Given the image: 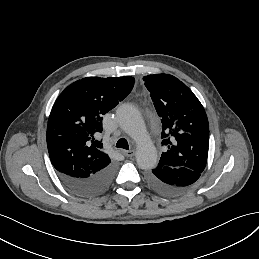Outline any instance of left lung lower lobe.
I'll list each match as a JSON object with an SVG mask.
<instances>
[{
    "label": "left lung lower lobe",
    "instance_id": "obj_1",
    "mask_svg": "<svg viewBox=\"0 0 259 259\" xmlns=\"http://www.w3.org/2000/svg\"><path fill=\"white\" fill-rule=\"evenodd\" d=\"M201 173L185 167H157L147 174V182L155 191L176 196L188 191Z\"/></svg>",
    "mask_w": 259,
    "mask_h": 259
}]
</instances>
